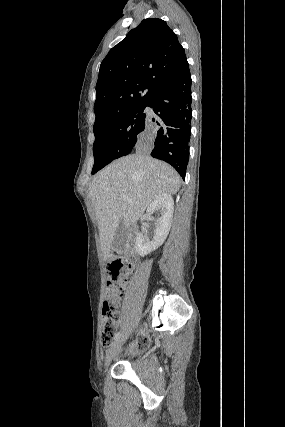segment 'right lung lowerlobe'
I'll return each instance as SVG.
<instances>
[{
	"label": "right lung lower lobe",
	"mask_w": 285,
	"mask_h": 427,
	"mask_svg": "<svg viewBox=\"0 0 285 427\" xmlns=\"http://www.w3.org/2000/svg\"><path fill=\"white\" fill-rule=\"evenodd\" d=\"M191 83L188 72L178 82L154 95L147 106L152 108L157 118L147 116L144 128L147 132L151 121L156 122L157 127L151 131L154 141L150 154L173 166L183 179L189 160Z\"/></svg>",
	"instance_id": "98d812e1"
}]
</instances>
